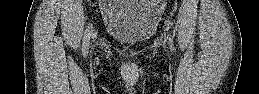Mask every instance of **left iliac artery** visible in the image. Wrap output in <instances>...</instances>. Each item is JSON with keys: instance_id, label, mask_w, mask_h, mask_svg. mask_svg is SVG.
Instances as JSON below:
<instances>
[{"instance_id": "left-iliac-artery-1", "label": "left iliac artery", "mask_w": 259, "mask_h": 94, "mask_svg": "<svg viewBox=\"0 0 259 94\" xmlns=\"http://www.w3.org/2000/svg\"><path fill=\"white\" fill-rule=\"evenodd\" d=\"M169 41H170V47L173 48V47H172V45H173V44H172V42H173L172 37L169 38ZM172 50H173V49H172Z\"/></svg>"}]
</instances>
